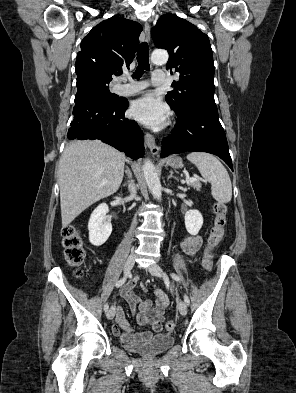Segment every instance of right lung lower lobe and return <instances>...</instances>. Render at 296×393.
I'll list each match as a JSON object with an SVG mask.
<instances>
[{"instance_id":"1","label":"right lung lower lobe","mask_w":296,"mask_h":393,"mask_svg":"<svg viewBox=\"0 0 296 393\" xmlns=\"http://www.w3.org/2000/svg\"><path fill=\"white\" fill-rule=\"evenodd\" d=\"M76 85L74 117L67 137L100 139L133 159L143 157V133L134 120L124 117L127 99L110 102L86 77L78 76Z\"/></svg>"}]
</instances>
